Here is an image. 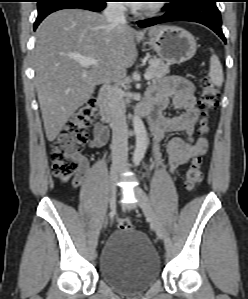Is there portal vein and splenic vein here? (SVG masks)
Wrapping results in <instances>:
<instances>
[{
    "instance_id": "1",
    "label": "portal vein and splenic vein",
    "mask_w": 248,
    "mask_h": 299,
    "mask_svg": "<svg viewBox=\"0 0 248 299\" xmlns=\"http://www.w3.org/2000/svg\"><path fill=\"white\" fill-rule=\"evenodd\" d=\"M74 59L80 63L82 67L94 66L98 64V61L91 57L75 56ZM152 77L151 73L147 71L144 75L146 80H150Z\"/></svg>"
}]
</instances>
